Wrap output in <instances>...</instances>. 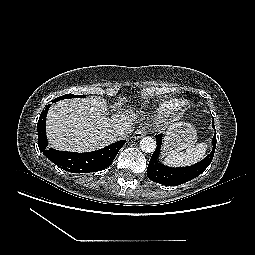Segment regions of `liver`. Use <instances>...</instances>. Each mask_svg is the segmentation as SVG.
<instances>
[{
	"label": "liver",
	"mask_w": 255,
	"mask_h": 255,
	"mask_svg": "<svg viewBox=\"0 0 255 255\" xmlns=\"http://www.w3.org/2000/svg\"><path fill=\"white\" fill-rule=\"evenodd\" d=\"M109 115L107 102L98 96L57 102L47 116L49 144L65 151L97 150L116 141L115 126L128 123L132 127L137 118L132 111Z\"/></svg>",
	"instance_id": "obj_1"
}]
</instances>
